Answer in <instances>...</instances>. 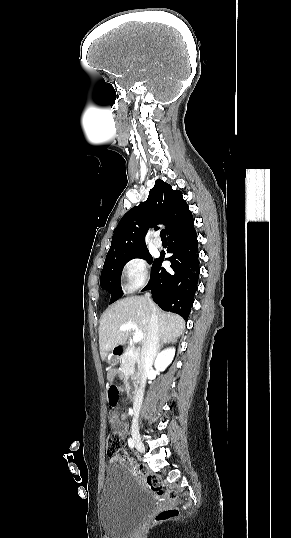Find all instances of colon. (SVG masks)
<instances>
[{
	"label": "colon",
	"instance_id": "5ec220e1",
	"mask_svg": "<svg viewBox=\"0 0 291 538\" xmlns=\"http://www.w3.org/2000/svg\"><path fill=\"white\" fill-rule=\"evenodd\" d=\"M108 399L111 406H115L119 400V391L116 386H110L108 390ZM124 446L123 438L114 430L112 431L108 438L106 444V453L108 456L112 457L117 455ZM135 474L141 475L145 478L147 486L149 489L160 497H168L174 501L177 500L178 495L176 492L169 490L163 484V481L160 477L156 475L149 474L146 470L142 468H136ZM179 511L175 508L165 509L158 512L154 517V523H161L170 519L177 517Z\"/></svg>",
	"mask_w": 291,
	"mask_h": 538
}]
</instances>
